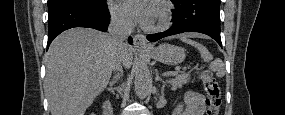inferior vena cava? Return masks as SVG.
Instances as JSON below:
<instances>
[{"label":"inferior vena cava","mask_w":285,"mask_h":115,"mask_svg":"<svg viewBox=\"0 0 285 115\" xmlns=\"http://www.w3.org/2000/svg\"><path fill=\"white\" fill-rule=\"evenodd\" d=\"M133 26L131 18L125 14L120 13L111 16L108 37L117 50L114 69L118 72H122V52L126 46L124 41L132 33Z\"/></svg>","instance_id":"602c4592"}]
</instances>
